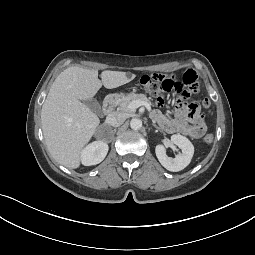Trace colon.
<instances>
[{
  "label": "colon",
  "mask_w": 255,
  "mask_h": 255,
  "mask_svg": "<svg viewBox=\"0 0 255 255\" xmlns=\"http://www.w3.org/2000/svg\"><path fill=\"white\" fill-rule=\"evenodd\" d=\"M141 86L153 95H160L163 92H174L178 96L179 105L187 108L191 113L202 117L201 108L207 109L209 107L208 100L201 103L196 101L189 102L188 99L192 93L198 90V78L194 70H187L181 81H175L173 78L160 74L153 73L143 75L140 78ZM214 140V135L208 133L204 137L206 143H211Z\"/></svg>",
  "instance_id": "obj_1"
}]
</instances>
